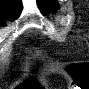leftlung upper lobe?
<instances>
[{"mask_svg": "<svg viewBox=\"0 0 89 89\" xmlns=\"http://www.w3.org/2000/svg\"><path fill=\"white\" fill-rule=\"evenodd\" d=\"M38 6L42 13L48 14L57 9L58 4L54 0H37Z\"/></svg>", "mask_w": 89, "mask_h": 89, "instance_id": "left-lung-upper-lobe-1", "label": "left lung upper lobe"}]
</instances>
